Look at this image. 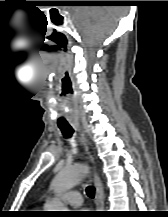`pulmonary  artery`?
<instances>
[{
    "label": "pulmonary artery",
    "instance_id": "e3ab8cb5",
    "mask_svg": "<svg viewBox=\"0 0 168 217\" xmlns=\"http://www.w3.org/2000/svg\"><path fill=\"white\" fill-rule=\"evenodd\" d=\"M62 199L65 203L73 206V207H79L82 205V197L81 194L77 191H70L63 195Z\"/></svg>",
    "mask_w": 168,
    "mask_h": 217
}]
</instances>
